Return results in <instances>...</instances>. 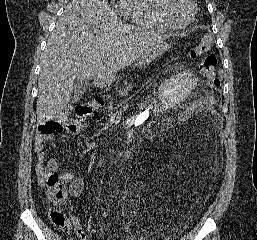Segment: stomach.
Listing matches in <instances>:
<instances>
[{"label": "stomach", "mask_w": 257, "mask_h": 240, "mask_svg": "<svg viewBox=\"0 0 257 240\" xmlns=\"http://www.w3.org/2000/svg\"><path fill=\"white\" fill-rule=\"evenodd\" d=\"M171 47V43H166L164 41L156 44L151 49H149L140 59V61L137 63L138 67L145 66L152 61H154L156 58L163 55L166 51H168Z\"/></svg>", "instance_id": "obj_1"}]
</instances>
